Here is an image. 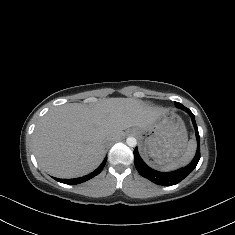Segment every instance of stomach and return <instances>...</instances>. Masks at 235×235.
Returning a JSON list of instances; mask_svg holds the SVG:
<instances>
[{"instance_id":"obj_1","label":"stomach","mask_w":235,"mask_h":235,"mask_svg":"<svg viewBox=\"0 0 235 235\" xmlns=\"http://www.w3.org/2000/svg\"><path fill=\"white\" fill-rule=\"evenodd\" d=\"M132 131L142 141V154L154 168L180 158L187 148L185 124L177 114L169 110L161 113L147 128H133Z\"/></svg>"}]
</instances>
